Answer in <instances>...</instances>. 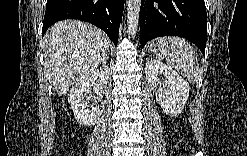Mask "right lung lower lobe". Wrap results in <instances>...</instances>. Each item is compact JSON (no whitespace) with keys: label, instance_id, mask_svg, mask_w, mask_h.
Masks as SVG:
<instances>
[{"label":"right lung lower lobe","instance_id":"98d812e1","mask_svg":"<svg viewBox=\"0 0 247 156\" xmlns=\"http://www.w3.org/2000/svg\"><path fill=\"white\" fill-rule=\"evenodd\" d=\"M123 8L124 0H47L42 37L55 22L78 19L99 27L117 44Z\"/></svg>","mask_w":247,"mask_h":156}]
</instances>
